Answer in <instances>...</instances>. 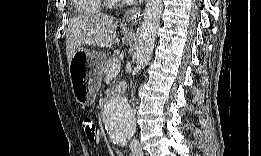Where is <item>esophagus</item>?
Wrapping results in <instances>:
<instances>
[{"label":"esophagus","mask_w":261,"mask_h":156,"mask_svg":"<svg viewBox=\"0 0 261 156\" xmlns=\"http://www.w3.org/2000/svg\"><path fill=\"white\" fill-rule=\"evenodd\" d=\"M140 16V10L139 9H131L129 11V17H130V20H136L138 17Z\"/></svg>","instance_id":"1"}]
</instances>
